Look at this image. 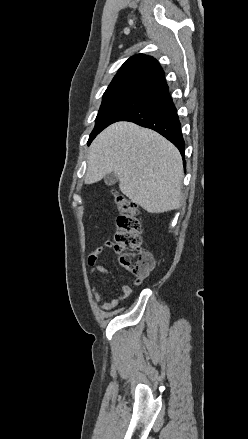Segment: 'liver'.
<instances>
[{
    "mask_svg": "<svg viewBox=\"0 0 248 439\" xmlns=\"http://www.w3.org/2000/svg\"><path fill=\"white\" fill-rule=\"evenodd\" d=\"M109 173L119 179L120 191L149 213L181 206V155L153 130L130 122L103 130L90 146L85 183L98 182Z\"/></svg>",
    "mask_w": 248,
    "mask_h": 439,
    "instance_id": "1",
    "label": "liver"
}]
</instances>
